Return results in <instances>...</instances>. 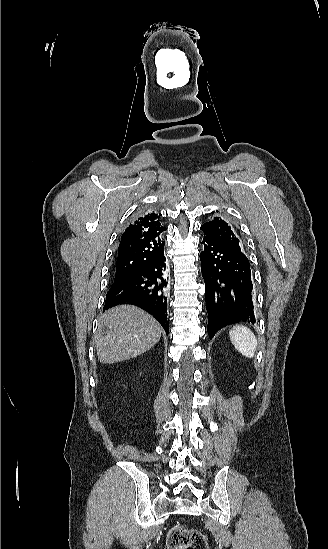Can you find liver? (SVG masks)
Masks as SVG:
<instances>
[{"instance_id":"6515ba94","label":"liver","mask_w":328,"mask_h":549,"mask_svg":"<svg viewBox=\"0 0 328 549\" xmlns=\"http://www.w3.org/2000/svg\"><path fill=\"white\" fill-rule=\"evenodd\" d=\"M158 321L134 305H118L103 313L95 345L100 363H119L138 357L160 341Z\"/></svg>"}]
</instances>
